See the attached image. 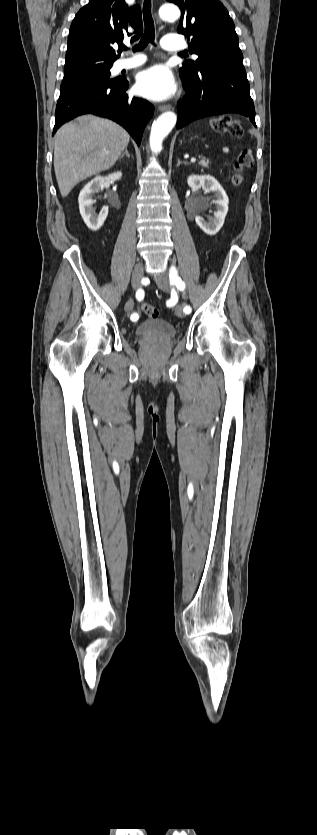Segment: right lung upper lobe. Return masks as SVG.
<instances>
[{
    "mask_svg": "<svg viewBox=\"0 0 317 835\" xmlns=\"http://www.w3.org/2000/svg\"><path fill=\"white\" fill-rule=\"evenodd\" d=\"M129 27L133 33L128 32ZM142 32L138 5L128 8L124 0H91L72 21L66 59L91 56L114 62L122 49L116 54L112 45L126 36L139 38Z\"/></svg>",
    "mask_w": 317,
    "mask_h": 835,
    "instance_id": "cb5924a9",
    "label": "right lung upper lobe"
}]
</instances>
